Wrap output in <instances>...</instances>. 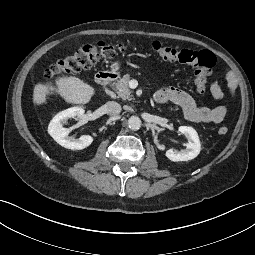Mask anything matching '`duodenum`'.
I'll return each instance as SVG.
<instances>
[{"instance_id": "410a0bca", "label": "duodenum", "mask_w": 255, "mask_h": 255, "mask_svg": "<svg viewBox=\"0 0 255 255\" xmlns=\"http://www.w3.org/2000/svg\"><path fill=\"white\" fill-rule=\"evenodd\" d=\"M96 82L101 86H108L117 79V73L109 70H100L96 73Z\"/></svg>"}]
</instances>
